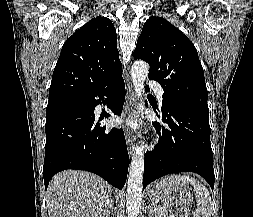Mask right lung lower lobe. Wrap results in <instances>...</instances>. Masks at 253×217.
Masks as SVG:
<instances>
[{"label": "right lung lower lobe", "mask_w": 253, "mask_h": 217, "mask_svg": "<svg viewBox=\"0 0 253 217\" xmlns=\"http://www.w3.org/2000/svg\"><path fill=\"white\" fill-rule=\"evenodd\" d=\"M104 97L109 109L121 115L125 99L121 73L86 95L47 106L45 188L56 173L66 169L90 171L116 188L124 186L129 165L124 132L101 126L94 116L95 107L104 102ZM109 116L106 113L99 120Z\"/></svg>", "instance_id": "1"}]
</instances>
